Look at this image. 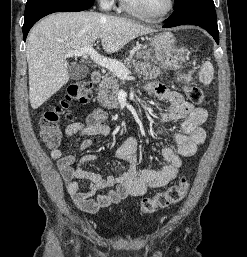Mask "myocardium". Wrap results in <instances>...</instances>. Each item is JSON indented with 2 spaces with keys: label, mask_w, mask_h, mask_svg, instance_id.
<instances>
[{
  "label": "myocardium",
  "mask_w": 247,
  "mask_h": 257,
  "mask_svg": "<svg viewBox=\"0 0 247 257\" xmlns=\"http://www.w3.org/2000/svg\"><path fill=\"white\" fill-rule=\"evenodd\" d=\"M121 7L132 16L142 19L147 22L159 23L167 19L174 10L175 0H168L167 8L159 15H149L137 10L129 0H120Z\"/></svg>",
  "instance_id": "obj_1"
}]
</instances>
